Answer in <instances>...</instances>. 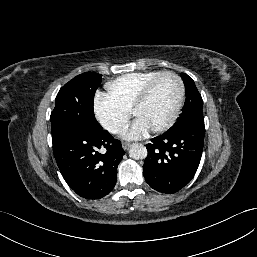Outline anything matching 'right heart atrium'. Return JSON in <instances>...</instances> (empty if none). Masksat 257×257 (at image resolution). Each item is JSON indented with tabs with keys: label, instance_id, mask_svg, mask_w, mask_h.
<instances>
[{
	"label": "right heart atrium",
	"instance_id": "right-heart-atrium-1",
	"mask_svg": "<svg viewBox=\"0 0 257 257\" xmlns=\"http://www.w3.org/2000/svg\"><path fill=\"white\" fill-rule=\"evenodd\" d=\"M105 105L106 107L113 109L116 112V119L110 123H106L100 115L99 107ZM94 113L97 121L100 125L110 134L118 135L124 128L126 122L130 117V111H127L114 103L107 95L99 94L96 98L94 105Z\"/></svg>",
	"mask_w": 257,
	"mask_h": 257
}]
</instances>
